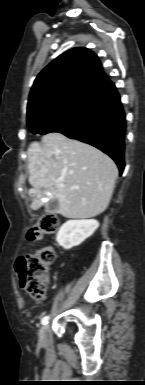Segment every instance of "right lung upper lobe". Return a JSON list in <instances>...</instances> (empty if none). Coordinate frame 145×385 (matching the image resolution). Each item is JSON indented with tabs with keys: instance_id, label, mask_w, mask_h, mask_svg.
<instances>
[{
	"instance_id": "1",
	"label": "right lung upper lobe",
	"mask_w": 145,
	"mask_h": 385,
	"mask_svg": "<svg viewBox=\"0 0 145 385\" xmlns=\"http://www.w3.org/2000/svg\"><path fill=\"white\" fill-rule=\"evenodd\" d=\"M97 56L86 48H74L52 61L34 81L27 113L47 100L74 89L100 93L111 86Z\"/></svg>"
}]
</instances>
